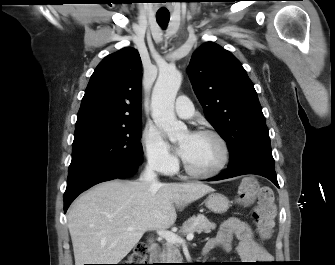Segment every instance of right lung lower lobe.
<instances>
[{
  "instance_id": "1",
  "label": "right lung lower lobe",
  "mask_w": 335,
  "mask_h": 265,
  "mask_svg": "<svg viewBox=\"0 0 335 265\" xmlns=\"http://www.w3.org/2000/svg\"><path fill=\"white\" fill-rule=\"evenodd\" d=\"M137 168L138 166L117 167L95 165L80 169L68 175L67 188L64 193V212L66 213L69 205L86 189L100 182L132 175Z\"/></svg>"
}]
</instances>
